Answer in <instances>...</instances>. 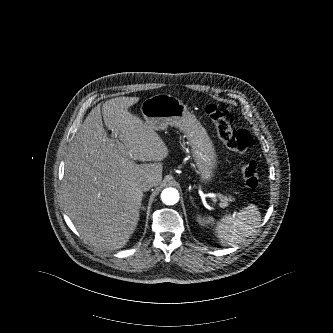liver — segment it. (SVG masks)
I'll return each mask as SVG.
<instances>
[{"label": "liver", "instance_id": "1", "mask_svg": "<svg viewBox=\"0 0 333 333\" xmlns=\"http://www.w3.org/2000/svg\"><path fill=\"white\" fill-rule=\"evenodd\" d=\"M139 100L117 97L93 108L65 160L64 209L87 240L108 251L124 247L134 233L143 183L151 178L155 187L162 180L160 164L136 162L169 155L154 125L130 111Z\"/></svg>", "mask_w": 333, "mask_h": 333}]
</instances>
